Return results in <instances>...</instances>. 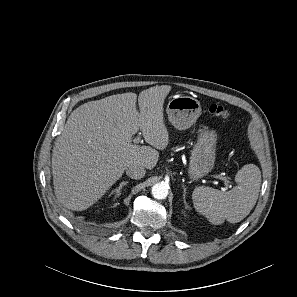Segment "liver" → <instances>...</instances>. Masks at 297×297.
<instances>
[{
    "instance_id": "6515ba94",
    "label": "liver",
    "mask_w": 297,
    "mask_h": 297,
    "mask_svg": "<svg viewBox=\"0 0 297 297\" xmlns=\"http://www.w3.org/2000/svg\"><path fill=\"white\" fill-rule=\"evenodd\" d=\"M169 85L154 86L138 96L132 92L108 96L79 106L69 116L52 153L55 195L68 209L82 211L96 203L130 165L149 170L158 150L169 143L163 104ZM142 131L150 146L132 143Z\"/></svg>"
}]
</instances>
